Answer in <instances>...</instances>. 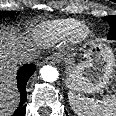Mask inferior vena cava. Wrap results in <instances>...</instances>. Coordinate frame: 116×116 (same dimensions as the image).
Instances as JSON below:
<instances>
[{"label":"inferior vena cava","mask_w":116,"mask_h":116,"mask_svg":"<svg viewBox=\"0 0 116 116\" xmlns=\"http://www.w3.org/2000/svg\"><path fill=\"white\" fill-rule=\"evenodd\" d=\"M34 59H35V56L30 51H23L21 54L17 56V62L19 64L31 63L34 61Z\"/></svg>","instance_id":"1"}]
</instances>
